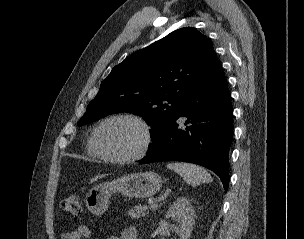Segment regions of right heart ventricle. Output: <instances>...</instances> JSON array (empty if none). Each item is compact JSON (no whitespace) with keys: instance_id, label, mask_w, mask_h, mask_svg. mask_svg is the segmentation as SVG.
I'll list each match as a JSON object with an SVG mask.
<instances>
[{"instance_id":"right-heart-ventricle-1","label":"right heart ventricle","mask_w":304,"mask_h":239,"mask_svg":"<svg viewBox=\"0 0 304 239\" xmlns=\"http://www.w3.org/2000/svg\"><path fill=\"white\" fill-rule=\"evenodd\" d=\"M87 152L90 156L94 157V158H98L99 155L96 153V151L93 148L92 142H91V138H89L88 142H87Z\"/></svg>"}]
</instances>
